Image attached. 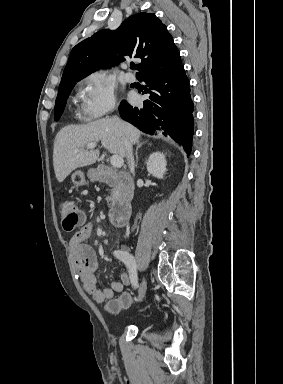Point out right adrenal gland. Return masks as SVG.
I'll list each match as a JSON object with an SVG mask.
<instances>
[{
    "label": "right adrenal gland",
    "mask_w": 283,
    "mask_h": 384,
    "mask_svg": "<svg viewBox=\"0 0 283 384\" xmlns=\"http://www.w3.org/2000/svg\"><path fill=\"white\" fill-rule=\"evenodd\" d=\"M136 144H137V148L135 150V158H136L135 166L137 168V166H138V156H137L138 150H139V148H141V146H143V144H145V142H139V140H138V142H136Z\"/></svg>",
    "instance_id": "1"
}]
</instances>
